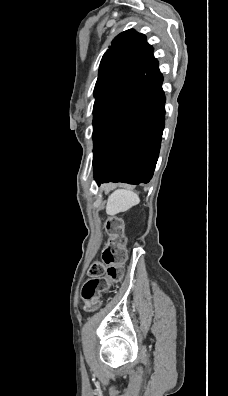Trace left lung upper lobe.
Instances as JSON below:
<instances>
[{"label":"left lung upper lobe","mask_w":228,"mask_h":396,"mask_svg":"<svg viewBox=\"0 0 228 396\" xmlns=\"http://www.w3.org/2000/svg\"><path fill=\"white\" fill-rule=\"evenodd\" d=\"M153 48L133 29L120 33L102 57L94 89L93 140L116 102L141 78Z\"/></svg>","instance_id":"1"}]
</instances>
